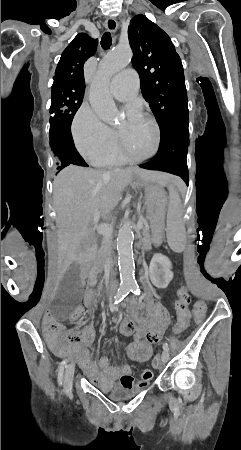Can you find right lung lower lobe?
I'll return each mask as SVG.
<instances>
[{"label":"right lung lower lobe","mask_w":241,"mask_h":450,"mask_svg":"<svg viewBox=\"0 0 241 450\" xmlns=\"http://www.w3.org/2000/svg\"><path fill=\"white\" fill-rule=\"evenodd\" d=\"M65 156L68 158L69 164L88 166L80 154L77 152L73 141H67L65 144Z\"/></svg>","instance_id":"98d812e1"}]
</instances>
